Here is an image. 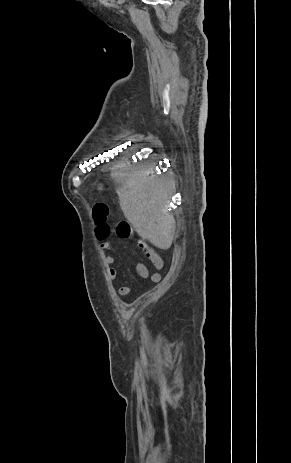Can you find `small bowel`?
Listing matches in <instances>:
<instances>
[{"instance_id":"small-bowel-1","label":"small bowel","mask_w":291,"mask_h":463,"mask_svg":"<svg viewBox=\"0 0 291 463\" xmlns=\"http://www.w3.org/2000/svg\"><path fill=\"white\" fill-rule=\"evenodd\" d=\"M139 246L141 247L144 254L150 259L154 268L156 269L151 275L149 273L148 267L143 262H138L136 264V272L138 276L143 280H150L154 283L159 282L161 280L160 270L163 268V260L161 257L155 252L153 248L148 246L145 242L139 241ZM102 247L104 250L108 251L111 249V246L108 242L102 243ZM105 263L108 265L107 273L111 279H116L118 277V269L116 268L115 264L117 260L113 256H106ZM133 292V288L130 286H121L118 289V293L120 296H128Z\"/></svg>"}]
</instances>
